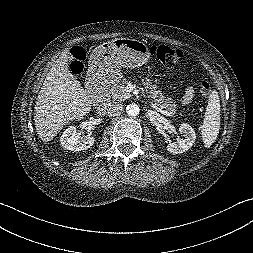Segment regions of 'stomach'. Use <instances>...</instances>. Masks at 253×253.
Here are the masks:
<instances>
[{
  "label": "stomach",
  "mask_w": 253,
  "mask_h": 253,
  "mask_svg": "<svg viewBox=\"0 0 253 253\" xmlns=\"http://www.w3.org/2000/svg\"><path fill=\"white\" fill-rule=\"evenodd\" d=\"M150 59L146 43L128 38H116L98 46L89 61L92 76L120 77V70L144 65Z\"/></svg>",
  "instance_id": "stomach-1"
}]
</instances>
